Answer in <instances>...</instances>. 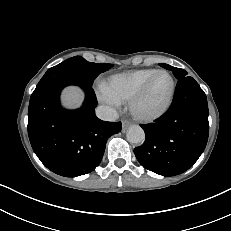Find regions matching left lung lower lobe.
I'll return each instance as SVG.
<instances>
[{"mask_svg": "<svg viewBox=\"0 0 231 231\" xmlns=\"http://www.w3.org/2000/svg\"><path fill=\"white\" fill-rule=\"evenodd\" d=\"M208 105L204 91L189 76L178 80L169 110L147 125L145 142L134 149L139 163L165 176L188 170L204 151L209 134Z\"/></svg>", "mask_w": 231, "mask_h": 231, "instance_id": "0a47b994", "label": "left lung lower lobe"}]
</instances>
